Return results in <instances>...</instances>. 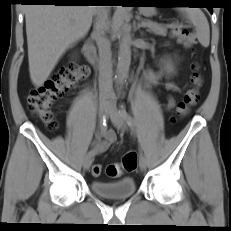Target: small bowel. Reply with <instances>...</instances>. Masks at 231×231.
Returning a JSON list of instances; mask_svg holds the SVG:
<instances>
[{
    "label": "small bowel",
    "instance_id": "small-bowel-1",
    "mask_svg": "<svg viewBox=\"0 0 231 231\" xmlns=\"http://www.w3.org/2000/svg\"><path fill=\"white\" fill-rule=\"evenodd\" d=\"M161 76L155 72H149L146 76V82L150 86H155L160 82ZM166 89L175 91L177 89L176 85L172 82H167L165 84ZM174 107V100L172 98L168 99L167 108ZM116 140V134L113 130H106V132L100 137H97L93 143V149L95 154H101L105 152Z\"/></svg>",
    "mask_w": 231,
    "mask_h": 231
}]
</instances>
